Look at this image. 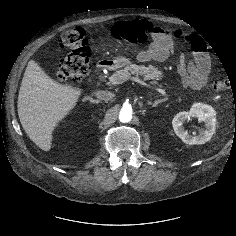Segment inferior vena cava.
Here are the masks:
<instances>
[{
    "label": "inferior vena cava",
    "mask_w": 236,
    "mask_h": 236,
    "mask_svg": "<svg viewBox=\"0 0 236 236\" xmlns=\"http://www.w3.org/2000/svg\"><path fill=\"white\" fill-rule=\"evenodd\" d=\"M96 97L98 99H101V100H104V101H110L113 97H114V94L109 92V91H97L95 93Z\"/></svg>",
    "instance_id": "602c4592"
}]
</instances>
